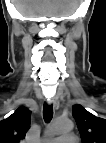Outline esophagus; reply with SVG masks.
Here are the masks:
<instances>
[{"label":"esophagus","instance_id":"obj_1","mask_svg":"<svg viewBox=\"0 0 106 143\" xmlns=\"http://www.w3.org/2000/svg\"><path fill=\"white\" fill-rule=\"evenodd\" d=\"M48 104L49 105H53V107L56 109V110H58V108H59V101L56 99V98H51V99H49L48 100Z\"/></svg>","mask_w":106,"mask_h":143}]
</instances>
